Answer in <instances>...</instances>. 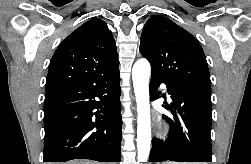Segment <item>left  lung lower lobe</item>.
I'll return each mask as SVG.
<instances>
[{
	"label": "left lung lower lobe",
	"mask_w": 251,
	"mask_h": 164,
	"mask_svg": "<svg viewBox=\"0 0 251 164\" xmlns=\"http://www.w3.org/2000/svg\"><path fill=\"white\" fill-rule=\"evenodd\" d=\"M161 83L173 101L165 107L174 117L163 115L170 125L168 139L153 138L149 162H212L211 92L151 72V100L160 98Z\"/></svg>",
	"instance_id": "0a47b994"
}]
</instances>
